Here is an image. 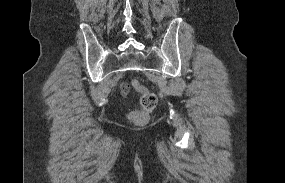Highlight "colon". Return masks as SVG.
Returning a JSON list of instances; mask_svg holds the SVG:
<instances>
[{"instance_id": "1", "label": "colon", "mask_w": 285, "mask_h": 183, "mask_svg": "<svg viewBox=\"0 0 285 183\" xmlns=\"http://www.w3.org/2000/svg\"><path fill=\"white\" fill-rule=\"evenodd\" d=\"M133 84L136 90L141 94V110L130 112L129 119L133 124L142 126L148 123L149 115L157 105V96L141 86L138 82H134Z\"/></svg>"}]
</instances>
